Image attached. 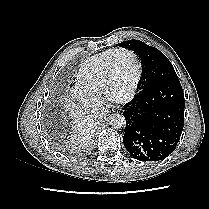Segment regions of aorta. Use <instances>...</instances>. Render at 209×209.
Wrapping results in <instances>:
<instances>
[{"label": "aorta", "instance_id": "762f6f07", "mask_svg": "<svg viewBox=\"0 0 209 209\" xmlns=\"http://www.w3.org/2000/svg\"><path fill=\"white\" fill-rule=\"evenodd\" d=\"M126 120L123 115L116 114L110 118V125L113 128L121 129L125 126Z\"/></svg>", "mask_w": 209, "mask_h": 209}]
</instances>
